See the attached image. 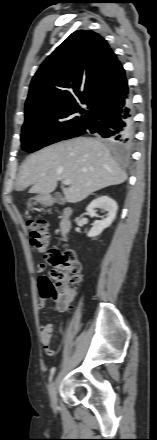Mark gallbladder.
<instances>
[{"label":"gallbladder","mask_w":157,"mask_h":440,"mask_svg":"<svg viewBox=\"0 0 157 440\" xmlns=\"http://www.w3.org/2000/svg\"><path fill=\"white\" fill-rule=\"evenodd\" d=\"M54 197L58 202L63 201V196L59 192L55 193Z\"/></svg>","instance_id":"bac80fb5"}]
</instances>
